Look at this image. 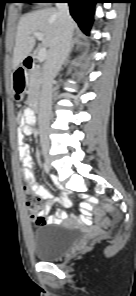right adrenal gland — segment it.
<instances>
[{
	"label": "right adrenal gland",
	"mask_w": 136,
	"mask_h": 296,
	"mask_svg": "<svg viewBox=\"0 0 136 296\" xmlns=\"http://www.w3.org/2000/svg\"><path fill=\"white\" fill-rule=\"evenodd\" d=\"M73 48H74V43L71 45V47H70V49H69V52H68V56H67V57H69V54L72 52Z\"/></svg>",
	"instance_id": "right-adrenal-gland-1"
}]
</instances>
